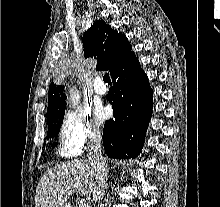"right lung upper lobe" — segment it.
Listing matches in <instances>:
<instances>
[{"label":"right lung upper lobe","mask_w":220,"mask_h":207,"mask_svg":"<svg viewBox=\"0 0 220 207\" xmlns=\"http://www.w3.org/2000/svg\"><path fill=\"white\" fill-rule=\"evenodd\" d=\"M84 56L97 60V70H108L113 73L114 67L131 53L132 46L122 33H118L107 25L105 21L98 20L84 33ZM66 96L63 86L51 82L48 93L47 119L56 114L65 104Z\"/></svg>","instance_id":"1"}]
</instances>
